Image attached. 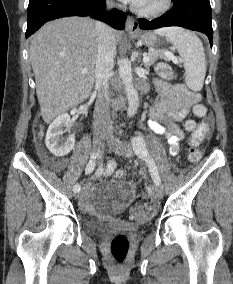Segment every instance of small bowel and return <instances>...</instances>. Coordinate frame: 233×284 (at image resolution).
<instances>
[{"mask_svg":"<svg viewBox=\"0 0 233 284\" xmlns=\"http://www.w3.org/2000/svg\"><path fill=\"white\" fill-rule=\"evenodd\" d=\"M156 88L162 99L152 110L153 119L149 121V128L158 135H163L170 145V153L176 155L179 150V142L183 139V131L176 125V122L183 120L193 105L199 104L201 99L198 93L187 90L182 84H169L156 82ZM164 120L165 124L159 122ZM211 128L209 117L193 129L189 140L191 146H197L208 135ZM54 169H63L66 165L64 159L52 158L47 160ZM83 207L88 208L90 202L86 199L82 202Z\"/></svg>","mask_w":233,"mask_h":284,"instance_id":"1","label":"small bowel"}]
</instances>
